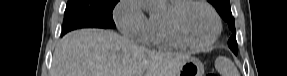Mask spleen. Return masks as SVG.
Wrapping results in <instances>:
<instances>
[{"label": "spleen", "mask_w": 287, "mask_h": 76, "mask_svg": "<svg viewBox=\"0 0 287 76\" xmlns=\"http://www.w3.org/2000/svg\"><path fill=\"white\" fill-rule=\"evenodd\" d=\"M215 68L221 76H239V72L234 63L223 56H219L215 61Z\"/></svg>", "instance_id": "3e777b00"}]
</instances>
